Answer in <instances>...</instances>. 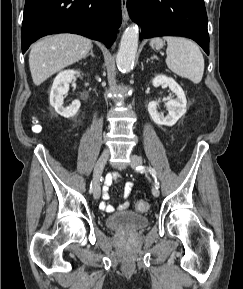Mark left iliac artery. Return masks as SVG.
Listing matches in <instances>:
<instances>
[{"instance_id": "obj_1", "label": "left iliac artery", "mask_w": 243, "mask_h": 289, "mask_svg": "<svg viewBox=\"0 0 243 289\" xmlns=\"http://www.w3.org/2000/svg\"><path fill=\"white\" fill-rule=\"evenodd\" d=\"M137 171H140V172H144V171H148L154 178V184H155V187L159 188V182L157 180V176H156V171L152 168V167H144V166H138L136 168Z\"/></svg>"}]
</instances>
